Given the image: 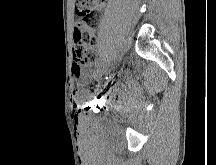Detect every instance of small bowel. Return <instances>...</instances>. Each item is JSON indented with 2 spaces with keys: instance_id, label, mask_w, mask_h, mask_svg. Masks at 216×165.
Returning a JSON list of instances; mask_svg holds the SVG:
<instances>
[{
  "instance_id": "small-bowel-1",
  "label": "small bowel",
  "mask_w": 216,
  "mask_h": 165,
  "mask_svg": "<svg viewBox=\"0 0 216 165\" xmlns=\"http://www.w3.org/2000/svg\"><path fill=\"white\" fill-rule=\"evenodd\" d=\"M73 75L76 79H81L84 75V71L82 70V67L79 66L76 62L73 64Z\"/></svg>"
}]
</instances>
